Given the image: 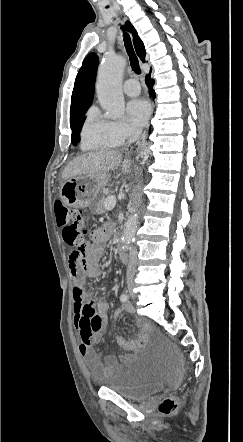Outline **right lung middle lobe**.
<instances>
[{"label": "right lung middle lobe", "instance_id": "right-lung-middle-lobe-1", "mask_svg": "<svg viewBox=\"0 0 243 442\" xmlns=\"http://www.w3.org/2000/svg\"><path fill=\"white\" fill-rule=\"evenodd\" d=\"M83 123H84V113L78 120H76L74 123L71 124V130H72L71 141L74 145L80 141L78 134L83 126Z\"/></svg>", "mask_w": 243, "mask_h": 442}]
</instances>
